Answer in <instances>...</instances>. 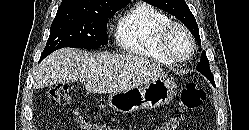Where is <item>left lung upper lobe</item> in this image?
<instances>
[{
    "instance_id": "left-lung-upper-lobe-1",
    "label": "left lung upper lobe",
    "mask_w": 249,
    "mask_h": 130,
    "mask_svg": "<svg viewBox=\"0 0 249 130\" xmlns=\"http://www.w3.org/2000/svg\"><path fill=\"white\" fill-rule=\"evenodd\" d=\"M147 3L158 7L164 11L175 16L179 19L195 37L197 43L201 45V39L199 36V28L196 23L195 17L191 13L189 7L184 0H145ZM196 70L202 73L212 84L215 86L213 74L209 67V61L206 56V52L203 51L200 59V63L196 66Z\"/></svg>"
}]
</instances>
